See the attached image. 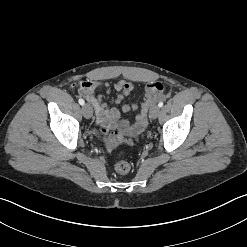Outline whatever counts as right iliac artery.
<instances>
[{
	"label": "right iliac artery",
	"mask_w": 247,
	"mask_h": 247,
	"mask_svg": "<svg viewBox=\"0 0 247 247\" xmlns=\"http://www.w3.org/2000/svg\"><path fill=\"white\" fill-rule=\"evenodd\" d=\"M78 102H79L80 105H84V103H85V101H84L82 98H80V99L78 100Z\"/></svg>",
	"instance_id": "82829eb1"
}]
</instances>
